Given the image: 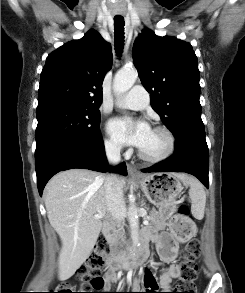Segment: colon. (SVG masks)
Masks as SVG:
<instances>
[{
  "instance_id": "1",
  "label": "colon",
  "mask_w": 245,
  "mask_h": 293,
  "mask_svg": "<svg viewBox=\"0 0 245 293\" xmlns=\"http://www.w3.org/2000/svg\"><path fill=\"white\" fill-rule=\"evenodd\" d=\"M180 215L187 217L189 215L188 207L184 204L178 208ZM189 221L186 219L175 221L172 226V234L174 236H182L189 230ZM97 252L92 254L77 271V278L81 282L79 289L87 292H73L75 287L69 284H62L55 287L48 293H93L90 291L98 290L104 287V281L100 277L103 266V254L108 252V244L104 237L97 240ZM201 246L197 240H192L184 247L182 252L183 261L180 266L181 276L176 282L173 292L171 293H195L194 281L197 277V266L195 260L200 257Z\"/></svg>"
}]
</instances>
